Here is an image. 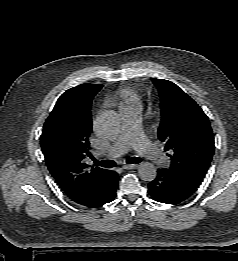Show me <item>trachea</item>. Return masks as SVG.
I'll return each mask as SVG.
<instances>
[{
	"instance_id": "trachea-1",
	"label": "trachea",
	"mask_w": 238,
	"mask_h": 261,
	"mask_svg": "<svg viewBox=\"0 0 238 261\" xmlns=\"http://www.w3.org/2000/svg\"><path fill=\"white\" fill-rule=\"evenodd\" d=\"M94 163L97 166H101L104 168H112L116 165V163L112 160H102V161H97L96 159H93ZM142 160L139 157H131L129 159L126 160V162L128 164H136V163H140Z\"/></svg>"
}]
</instances>
